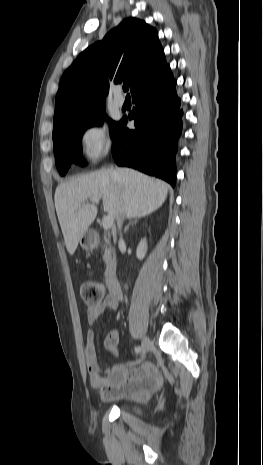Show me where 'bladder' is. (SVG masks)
I'll use <instances>...</instances> for the list:
<instances>
[{"label": "bladder", "instance_id": "bladder-1", "mask_svg": "<svg viewBox=\"0 0 263 465\" xmlns=\"http://www.w3.org/2000/svg\"><path fill=\"white\" fill-rule=\"evenodd\" d=\"M120 411L129 413L132 415L140 416L142 414V408L140 407L139 404L135 402H122L118 405Z\"/></svg>", "mask_w": 263, "mask_h": 465}]
</instances>
